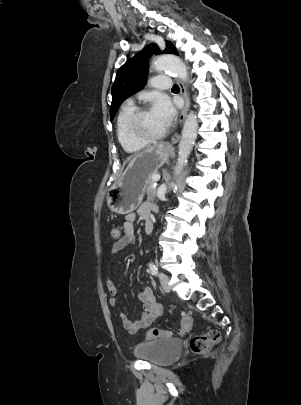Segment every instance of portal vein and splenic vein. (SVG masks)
<instances>
[{"instance_id":"portal-vein-and-splenic-vein-1","label":"portal vein and splenic vein","mask_w":301,"mask_h":405,"mask_svg":"<svg viewBox=\"0 0 301 405\" xmlns=\"http://www.w3.org/2000/svg\"><path fill=\"white\" fill-rule=\"evenodd\" d=\"M160 180V175H154L153 176V181L157 182Z\"/></svg>"}]
</instances>
